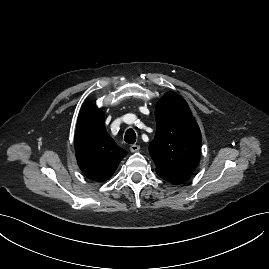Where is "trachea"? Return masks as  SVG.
<instances>
[{
    "label": "trachea",
    "mask_w": 269,
    "mask_h": 269,
    "mask_svg": "<svg viewBox=\"0 0 269 269\" xmlns=\"http://www.w3.org/2000/svg\"><path fill=\"white\" fill-rule=\"evenodd\" d=\"M124 140L128 144H134L136 141V134L133 129H128L125 133Z\"/></svg>",
    "instance_id": "trachea-1"
}]
</instances>
